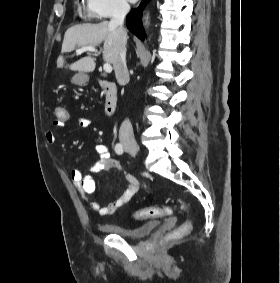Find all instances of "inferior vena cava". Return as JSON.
<instances>
[{
	"mask_svg": "<svg viewBox=\"0 0 280 283\" xmlns=\"http://www.w3.org/2000/svg\"><path fill=\"white\" fill-rule=\"evenodd\" d=\"M130 11V6L127 2L122 1L117 4L110 20V25L118 28L123 37V44L121 46L118 61L115 67V75L120 85H125L129 82V73L126 65V32L123 29L125 16ZM119 140L124 145H136L133 134V128L129 119L122 122L119 129Z\"/></svg>",
	"mask_w": 280,
	"mask_h": 283,
	"instance_id": "obj_1",
	"label": "inferior vena cava"
}]
</instances>
